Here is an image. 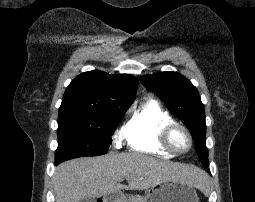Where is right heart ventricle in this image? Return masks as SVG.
Returning a JSON list of instances; mask_svg holds the SVG:
<instances>
[{
	"instance_id": "right-heart-ventricle-1",
	"label": "right heart ventricle",
	"mask_w": 255,
	"mask_h": 202,
	"mask_svg": "<svg viewBox=\"0 0 255 202\" xmlns=\"http://www.w3.org/2000/svg\"><path fill=\"white\" fill-rule=\"evenodd\" d=\"M172 116L156 100L148 99L135 109L121 128V138L133 151L163 158L174 154L166 150L160 141L163 128L173 123Z\"/></svg>"
}]
</instances>
